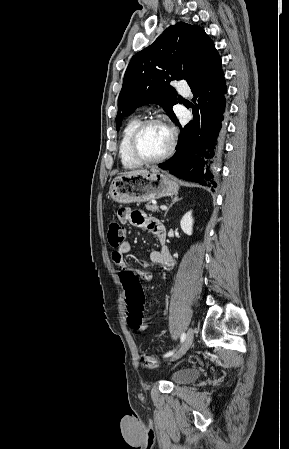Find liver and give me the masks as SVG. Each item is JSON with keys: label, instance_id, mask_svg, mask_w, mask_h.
<instances>
[{"label": "liver", "instance_id": "obj_1", "mask_svg": "<svg viewBox=\"0 0 289 449\" xmlns=\"http://www.w3.org/2000/svg\"><path fill=\"white\" fill-rule=\"evenodd\" d=\"M145 173H148V171L145 169H141V170L125 172V173H123V175H138V174H145Z\"/></svg>", "mask_w": 289, "mask_h": 449}]
</instances>
